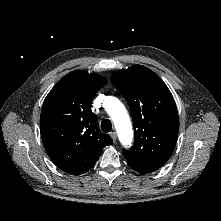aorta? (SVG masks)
<instances>
[{"instance_id":"1","label":"aorta","mask_w":221,"mask_h":221,"mask_svg":"<svg viewBox=\"0 0 221 221\" xmlns=\"http://www.w3.org/2000/svg\"><path fill=\"white\" fill-rule=\"evenodd\" d=\"M104 107L114 122L120 142L124 146H130L133 140V130L126 108L120 100L112 96L106 97Z\"/></svg>"}]
</instances>
